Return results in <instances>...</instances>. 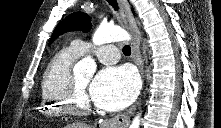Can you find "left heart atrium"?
<instances>
[{"label": "left heart atrium", "mask_w": 221, "mask_h": 128, "mask_svg": "<svg viewBox=\"0 0 221 128\" xmlns=\"http://www.w3.org/2000/svg\"><path fill=\"white\" fill-rule=\"evenodd\" d=\"M139 90L136 73L127 67L102 69L89 88V98L99 108L115 111L130 105Z\"/></svg>", "instance_id": "1"}]
</instances>
